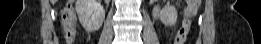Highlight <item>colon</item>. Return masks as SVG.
<instances>
[{"instance_id":"colon-1","label":"colon","mask_w":261,"mask_h":44,"mask_svg":"<svg viewBox=\"0 0 261 44\" xmlns=\"http://www.w3.org/2000/svg\"><path fill=\"white\" fill-rule=\"evenodd\" d=\"M200 2H201L200 0H187L186 1V3L189 6V12L186 14V16L183 20V24L175 37V40H174L175 44H183L185 42L186 37L191 28L193 12L195 10H197V8L200 5ZM64 18L68 19V16L64 15Z\"/></svg>"}]
</instances>
